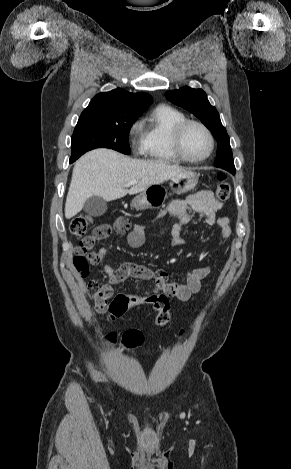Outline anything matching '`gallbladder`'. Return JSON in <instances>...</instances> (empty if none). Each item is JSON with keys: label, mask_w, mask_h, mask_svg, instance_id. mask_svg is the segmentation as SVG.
Here are the masks:
<instances>
[{"label": "gallbladder", "mask_w": 291, "mask_h": 469, "mask_svg": "<svg viewBox=\"0 0 291 469\" xmlns=\"http://www.w3.org/2000/svg\"><path fill=\"white\" fill-rule=\"evenodd\" d=\"M83 210L89 216L99 217L106 212L107 202L102 197L93 195L85 201Z\"/></svg>", "instance_id": "obj_1"}]
</instances>
